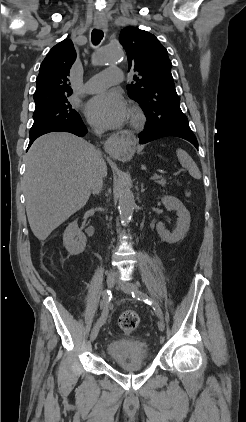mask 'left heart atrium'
Listing matches in <instances>:
<instances>
[{"mask_svg":"<svg viewBox=\"0 0 246 422\" xmlns=\"http://www.w3.org/2000/svg\"><path fill=\"white\" fill-rule=\"evenodd\" d=\"M88 120L103 129L122 126L129 117L124 98L117 92L108 91L94 96L86 105Z\"/></svg>","mask_w":246,"mask_h":422,"instance_id":"39dd6f15","label":"left heart atrium"}]
</instances>
